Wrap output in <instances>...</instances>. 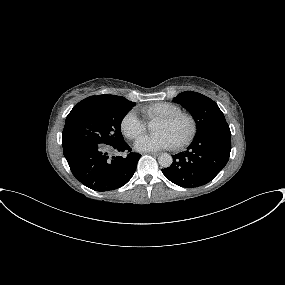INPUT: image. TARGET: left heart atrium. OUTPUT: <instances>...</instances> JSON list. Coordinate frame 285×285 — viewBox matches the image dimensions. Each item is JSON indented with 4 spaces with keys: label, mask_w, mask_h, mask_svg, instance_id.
<instances>
[{
    "label": "left heart atrium",
    "mask_w": 285,
    "mask_h": 285,
    "mask_svg": "<svg viewBox=\"0 0 285 285\" xmlns=\"http://www.w3.org/2000/svg\"><path fill=\"white\" fill-rule=\"evenodd\" d=\"M135 149L141 152L167 149L174 146L170 137L162 132L153 135L140 136L135 141Z\"/></svg>",
    "instance_id": "obj_1"
}]
</instances>
